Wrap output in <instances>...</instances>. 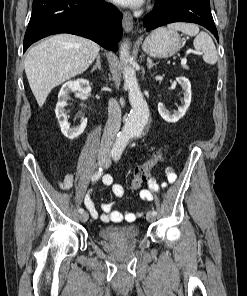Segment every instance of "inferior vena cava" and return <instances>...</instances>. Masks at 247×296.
Here are the masks:
<instances>
[{"instance_id": "602c4592", "label": "inferior vena cava", "mask_w": 247, "mask_h": 296, "mask_svg": "<svg viewBox=\"0 0 247 296\" xmlns=\"http://www.w3.org/2000/svg\"><path fill=\"white\" fill-rule=\"evenodd\" d=\"M121 126V109L118 102L115 99H110L108 103V120L104 128L100 152H110L116 134Z\"/></svg>"}]
</instances>
